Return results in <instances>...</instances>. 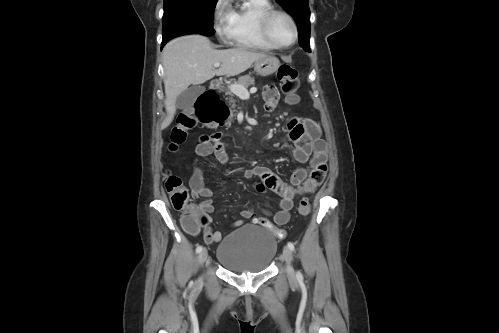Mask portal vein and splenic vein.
Wrapping results in <instances>:
<instances>
[{"label": "portal vein and splenic vein", "mask_w": 499, "mask_h": 333, "mask_svg": "<svg viewBox=\"0 0 499 333\" xmlns=\"http://www.w3.org/2000/svg\"><path fill=\"white\" fill-rule=\"evenodd\" d=\"M215 68L220 66V63H214L213 65ZM229 89L232 93L237 95L240 99H248L250 96V93H254L256 89L250 90V92L242 85L239 84H231L229 85Z\"/></svg>", "instance_id": "18ae733b"}]
</instances>
